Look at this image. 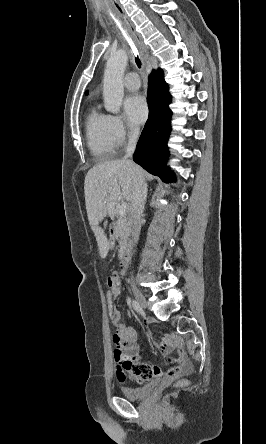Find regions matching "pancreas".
Segmentation results:
<instances>
[{"instance_id": "cf45deb5", "label": "pancreas", "mask_w": 266, "mask_h": 444, "mask_svg": "<svg viewBox=\"0 0 266 444\" xmlns=\"http://www.w3.org/2000/svg\"><path fill=\"white\" fill-rule=\"evenodd\" d=\"M116 232L119 236L120 256H122L123 250L128 247V237L130 235L129 220L125 214L118 218Z\"/></svg>"}]
</instances>
